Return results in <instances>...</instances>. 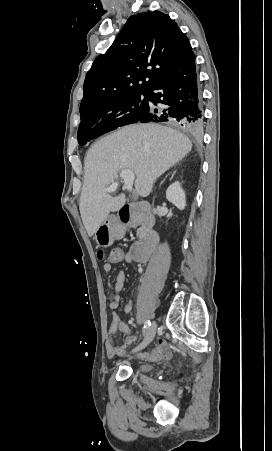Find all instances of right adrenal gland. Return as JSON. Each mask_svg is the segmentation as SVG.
Wrapping results in <instances>:
<instances>
[{"label":"right adrenal gland","mask_w":272,"mask_h":451,"mask_svg":"<svg viewBox=\"0 0 272 451\" xmlns=\"http://www.w3.org/2000/svg\"><path fill=\"white\" fill-rule=\"evenodd\" d=\"M168 176H169V174H168ZM166 178H167V176H166ZM163 182H164V180H163ZM163 182H161V184H163ZM161 184H160V186H161Z\"/></svg>","instance_id":"1"}]
</instances>
